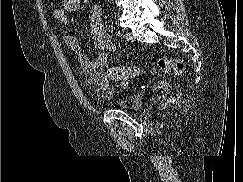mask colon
<instances>
[{
  "instance_id": "colon-1",
  "label": "colon",
  "mask_w": 243,
  "mask_h": 182,
  "mask_svg": "<svg viewBox=\"0 0 243 182\" xmlns=\"http://www.w3.org/2000/svg\"><path fill=\"white\" fill-rule=\"evenodd\" d=\"M158 67L165 73L179 74L184 69V64L179 59L162 57L158 61ZM141 73V70L135 67H112L106 70V78L113 81H123L133 78ZM173 96L169 97L171 100Z\"/></svg>"
}]
</instances>
